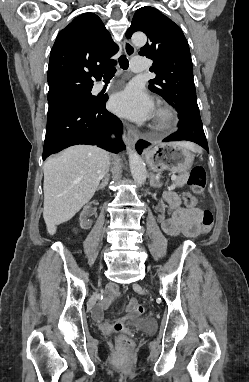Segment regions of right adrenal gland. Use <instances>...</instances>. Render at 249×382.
<instances>
[{"label": "right adrenal gland", "instance_id": "obj_1", "mask_svg": "<svg viewBox=\"0 0 249 382\" xmlns=\"http://www.w3.org/2000/svg\"><path fill=\"white\" fill-rule=\"evenodd\" d=\"M108 181H109V174H107L105 176V178L102 181V183L97 187V190H103L105 188V186L108 184Z\"/></svg>", "mask_w": 249, "mask_h": 382}]
</instances>
